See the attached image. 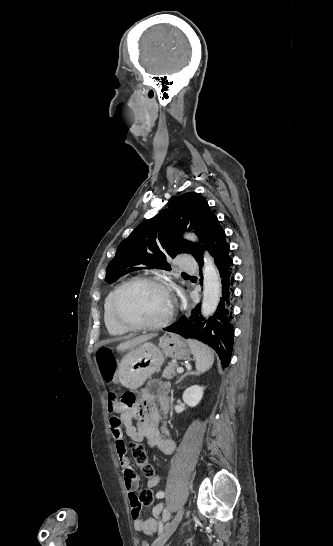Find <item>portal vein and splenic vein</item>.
<instances>
[{
  "label": "portal vein and splenic vein",
  "instance_id": "portal-vein-and-splenic-vein-1",
  "mask_svg": "<svg viewBox=\"0 0 333 546\" xmlns=\"http://www.w3.org/2000/svg\"><path fill=\"white\" fill-rule=\"evenodd\" d=\"M183 372H184V369H183V368H181V367H180V368H177V373L182 374Z\"/></svg>",
  "mask_w": 333,
  "mask_h": 546
}]
</instances>
